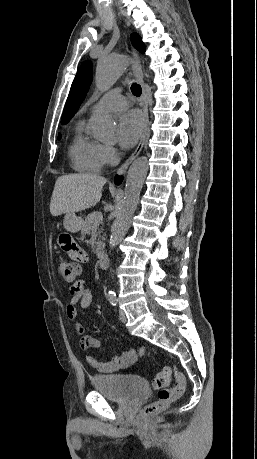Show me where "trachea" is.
<instances>
[{
    "mask_svg": "<svg viewBox=\"0 0 257 459\" xmlns=\"http://www.w3.org/2000/svg\"><path fill=\"white\" fill-rule=\"evenodd\" d=\"M131 91H132V94L137 96V97L140 96L141 93H142L141 86L139 84H136V83H133L131 85Z\"/></svg>",
    "mask_w": 257,
    "mask_h": 459,
    "instance_id": "3493384b",
    "label": "trachea"
}]
</instances>
